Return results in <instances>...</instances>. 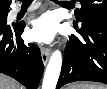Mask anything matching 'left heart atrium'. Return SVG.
<instances>
[{
	"instance_id": "left-heart-atrium-1",
	"label": "left heart atrium",
	"mask_w": 107,
	"mask_h": 89,
	"mask_svg": "<svg viewBox=\"0 0 107 89\" xmlns=\"http://www.w3.org/2000/svg\"><path fill=\"white\" fill-rule=\"evenodd\" d=\"M58 30L57 20L52 13H45L34 20L31 37L41 43H51Z\"/></svg>"
}]
</instances>
